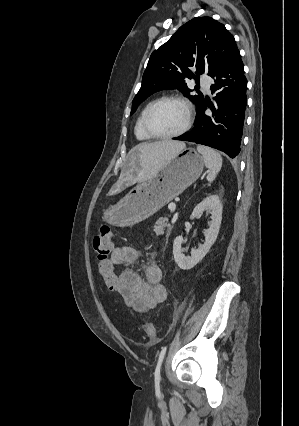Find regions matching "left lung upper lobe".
Segmentation results:
<instances>
[{
  "mask_svg": "<svg viewBox=\"0 0 299 426\" xmlns=\"http://www.w3.org/2000/svg\"><path fill=\"white\" fill-rule=\"evenodd\" d=\"M237 49L232 34L213 18L196 17L188 21L151 54L131 114L148 96L162 89L177 88L198 107L204 96L190 95L188 79H196L205 72L211 76ZM192 70H196V76Z\"/></svg>",
  "mask_w": 299,
  "mask_h": 426,
  "instance_id": "5c2ea615",
  "label": "left lung upper lobe"
}]
</instances>
